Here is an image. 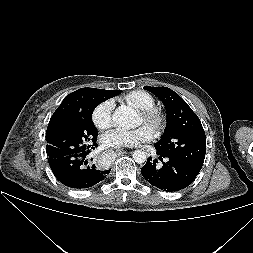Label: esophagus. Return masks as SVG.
<instances>
[{
  "label": "esophagus",
  "instance_id": "34e87169",
  "mask_svg": "<svg viewBox=\"0 0 253 253\" xmlns=\"http://www.w3.org/2000/svg\"><path fill=\"white\" fill-rule=\"evenodd\" d=\"M106 152L109 154L120 155L123 153V150L116 148V147H114V148L112 147V148L107 149Z\"/></svg>",
  "mask_w": 253,
  "mask_h": 253
}]
</instances>
